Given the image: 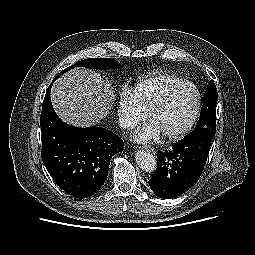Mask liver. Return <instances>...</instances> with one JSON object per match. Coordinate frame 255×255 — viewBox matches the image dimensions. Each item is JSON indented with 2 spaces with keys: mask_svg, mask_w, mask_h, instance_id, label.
I'll use <instances>...</instances> for the list:
<instances>
[{
  "mask_svg": "<svg viewBox=\"0 0 255 255\" xmlns=\"http://www.w3.org/2000/svg\"><path fill=\"white\" fill-rule=\"evenodd\" d=\"M114 97L109 80L84 68L65 73L55 82L51 92L58 116L81 128L100 123L110 112Z\"/></svg>",
  "mask_w": 255,
  "mask_h": 255,
  "instance_id": "liver-1",
  "label": "liver"
}]
</instances>
